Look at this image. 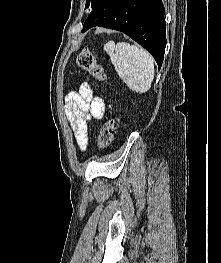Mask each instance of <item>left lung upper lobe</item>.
Segmentation results:
<instances>
[{
    "label": "left lung upper lobe",
    "instance_id": "left-lung-upper-lobe-1",
    "mask_svg": "<svg viewBox=\"0 0 221 263\" xmlns=\"http://www.w3.org/2000/svg\"><path fill=\"white\" fill-rule=\"evenodd\" d=\"M101 2H102V0H86L85 9L88 7H91L93 9L94 7H96Z\"/></svg>",
    "mask_w": 221,
    "mask_h": 263
}]
</instances>
